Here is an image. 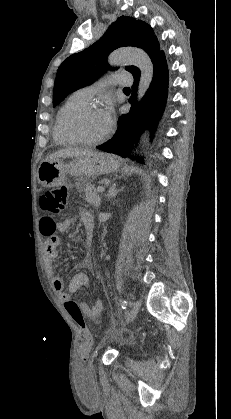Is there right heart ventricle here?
I'll list each match as a JSON object with an SVG mask.
<instances>
[{
    "mask_svg": "<svg viewBox=\"0 0 231 419\" xmlns=\"http://www.w3.org/2000/svg\"><path fill=\"white\" fill-rule=\"evenodd\" d=\"M89 100L86 99L79 91L71 94L63 105L59 108L53 125V139L57 144L61 145H73L76 144L70 140L62 130V121L64 116L73 108L88 103Z\"/></svg>",
    "mask_w": 231,
    "mask_h": 419,
    "instance_id": "right-heart-ventricle-1",
    "label": "right heart ventricle"
}]
</instances>
